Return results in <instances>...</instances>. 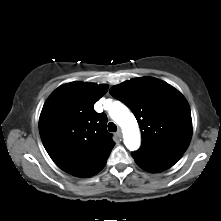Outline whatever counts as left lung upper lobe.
<instances>
[{
    "instance_id": "1",
    "label": "left lung upper lobe",
    "mask_w": 221,
    "mask_h": 221,
    "mask_svg": "<svg viewBox=\"0 0 221 221\" xmlns=\"http://www.w3.org/2000/svg\"><path fill=\"white\" fill-rule=\"evenodd\" d=\"M110 94L134 113L142 133L136 153L148 157L182 156L192 136L190 107L171 85L150 77L115 85Z\"/></svg>"
}]
</instances>
